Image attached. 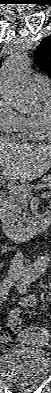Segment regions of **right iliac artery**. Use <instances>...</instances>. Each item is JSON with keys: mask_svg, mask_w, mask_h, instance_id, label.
<instances>
[{"mask_svg": "<svg viewBox=\"0 0 51 393\" xmlns=\"http://www.w3.org/2000/svg\"><path fill=\"white\" fill-rule=\"evenodd\" d=\"M27 274H23V276L25 277ZM13 279L11 277H7L5 279L2 280L1 284H0V297L2 300H5L7 298L8 295V291L9 288L12 284Z\"/></svg>", "mask_w": 51, "mask_h": 393, "instance_id": "1", "label": "right iliac artery"}]
</instances>
